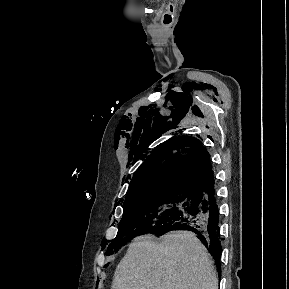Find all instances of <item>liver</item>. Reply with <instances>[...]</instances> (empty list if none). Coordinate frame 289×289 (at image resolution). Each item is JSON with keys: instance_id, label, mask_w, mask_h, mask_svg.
<instances>
[{"instance_id": "obj_1", "label": "liver", "mask_w": 289, "mask_h": 289, "mask_svg": "<svg viewBox=\"0 0 289 289\" xmlns=\"http://www.w3.org/2000/svg\"><path fill=\"white\" fill-rule=\"evenodd\" d=\"M112 289H218L205 246L190 231L171 232L160 243L145 235L129 245Z\"/></svg>"}]
</instances>
